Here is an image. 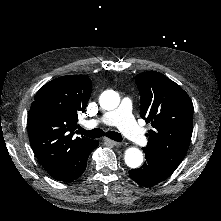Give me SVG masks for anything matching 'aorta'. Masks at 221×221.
I'll return each mask as SVG.
<instances>
[{
	"label": "aorta",
	"mask_w": 221,
	"mask_h": 221,
	"mask_svg": "<svg viewBox=\"0 0 221 221\" xmlns=\"http://www.w3.org/2000/svg\"><path fill=\"white\" fill-rule=\"evenodd\" d=\"M100 106L105 110H113L120 103L119 95L115 91L105 92L100 96ZM125 163L130 168H138L143 163V153L136 147H129L124 155Z\"/></svg>",
	"instance_id": "1"
}]
</instances>
